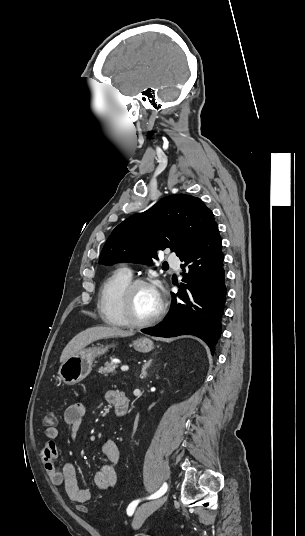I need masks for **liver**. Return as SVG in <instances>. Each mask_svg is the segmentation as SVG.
Returning a JSON list of instances; mask_svg holds the SVG:
<instances>
[{
	"label": "liver",
	"instance_id": "obj_1",
	"mask_svg": "<svg viewBox=\"0 0 305 536\" xmlns=\"http://www.w3.org/2000/svg\"><path fill=\"white\" fill-rule=\"evenodd\" d=\"M127 336H134V334L133 332H125V330H121V328H115V326H113V328H103V326L88 328V330H84V332L77 334V336L67 344L60 356V362L63 364L68 358L77 354L79 350H83L85 346H88L91 342H96V340H103V338H127Z\"/></svg>",
	"mask_w": 305,
	"mask_h": 536
}]
</instances>
